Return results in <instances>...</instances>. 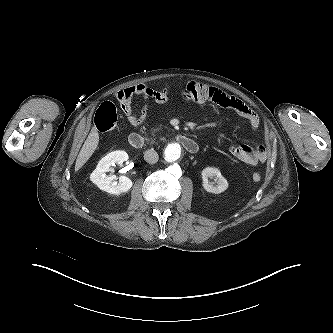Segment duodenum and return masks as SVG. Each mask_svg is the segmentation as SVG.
<instances>
[{"label":"duodenum","instance_id":"1","mask_svg":"<svg viewBox=\"0 0 333 333\" xmlns=\"http://www.w3.org/2000/svg\"><path fill=\"white\" fill-rule=\"evenodd\" d=\"M177 142L189 153L194 154L198 151L197 142L191 137L184 134L176 135ZM129 144L136 149H140L145 145V139L138 133H131L128 138Z\"/></svg>","mask_w":333,"mask_h":333}]
</instances>
